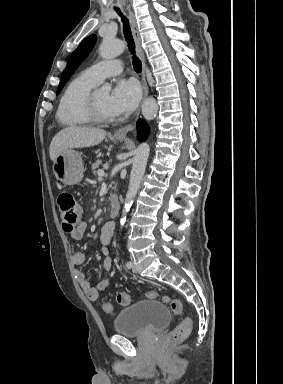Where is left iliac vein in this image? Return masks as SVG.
Masks as SVG:
<instances>
[{"label":"left iliac vein","instance_id":"1","mask_svg":"<svg viewBox=\"0 0 283 384\" xmlns=\"http://www.w3.org/2000/svg\"><path fill=\"white\" fill-rule=\"evenodd\" d=\"M130 262H131V264H132V267H131V268H132V271L135 272V273H137V268H136V266L134 265V261H133L132 258H131V261H130Z\"/></svg>","mask_w":283,"mask_h":384}]
</instances>
